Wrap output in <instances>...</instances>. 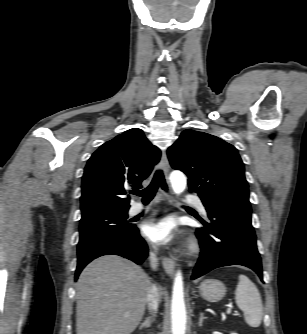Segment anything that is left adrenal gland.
<instances>
[{
    "mask_svg": "<svg viewBox=\"0 0 307 334\" xmlns=\"http://www.w3.org/2000/svg\"><path fill=\"white\" fill-rule=\"evenodd\" d=\"M204 319H207L206 317H204V314L203 313H200V318H199V323H198V325L201 327L202 326V324H203V320Z\"/></svg>",
    "mask_w": 307,
    "mask_h": 334,
    "instance_id": "obj_1",
    "label": "left adrenal gland"
}]
</instances>
